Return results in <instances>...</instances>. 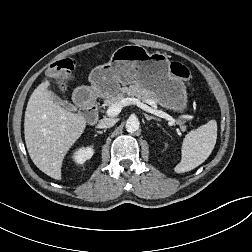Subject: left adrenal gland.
<instances>
[{
	"label": "left adrenal gland",
	"instance_id": "left-adrenal-gland-1",
	"mask_svg": "<svg viewBox=\"0 0 252 252\" xmlns=\"http://www.w3.org/2000/svg\"><path fill=\"white\" fill-rule=\"evenodd\" d=\"M145 118H146V120H147V121H150V120H156V121H159V119H158V118L153 117V116H149V115H147V114H145Z\"/></svg>",
	"mask_w": 252,
	"mask_h": 252
}]
</instances>
